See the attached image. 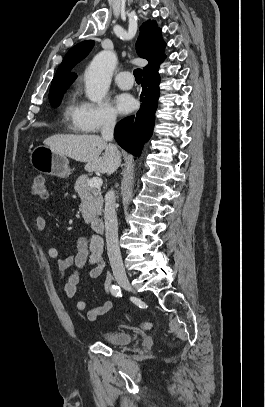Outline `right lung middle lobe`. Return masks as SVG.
Here are the masks:
<instances>
[{
	"label": "right lung middle lobe",
	"mask_w": 265,
	"mask_h": 407,
	"mask_svg": "<svg viewBox=\"0 0 265 407\" xmlns=\"http://www.w3.org/2000/svg\"><path fill=\"white\" fill-rule=\"evenodd\" d=\"M72 83H62L57 85H52L49 91V101L53 107H58L63 93Z\"/></svg>",
	"instance_id": "dd1d6c3e"
}]
</instances>
